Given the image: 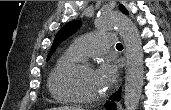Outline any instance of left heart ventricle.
Segmentation results:
<instances>
[{"instance_id": "obj_1", "label": "left heart ventricle", "mask_w": 171, "mask_h": 110, "mask_svg": "<svg viewBox=\"0 0 171 110\" xmlns=\"http://www.w3.org/2000/svg\"><path fill=\"white\" fill-rule=\"evenodd\" d=\"M75 84L78 90L87 97L99 96L105 92L95 75V70L91 68L81 70L75 78Z\"/></svg>"}]
</instances>
